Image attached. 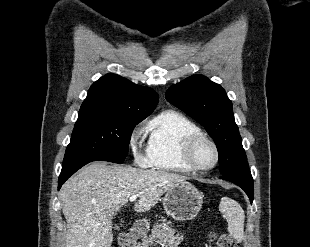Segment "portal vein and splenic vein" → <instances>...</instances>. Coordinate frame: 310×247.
Segmentation results:
<instances>
[{
	"label": "portal vein and splenic vein",
	"instance_id": "obj_1",
	"mask_svg": "<svg viewBox=\"0 0 310 247\" xmlns=\"http://www.w3.org/2000/svg\"><path fill=\"white\" fill-rule=\"evenodd\" d=\"M137 197H139V194L132 195V196L129 198L130 202L136 201Z\"/></svg>",
	"mask_w": 310,
	"mask_h": 247
}]
</instances>
